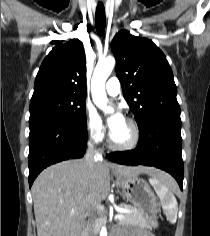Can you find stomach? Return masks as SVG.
I'll return each mask as SVG.
<instances>
[{
	"label": "stomach",
	"instance_id": "1",
	"mask_svg": "<svg viewBox=\"0 0 210 236\" xmlns=\"http://www.w3.org/2000/svg\"><path fill=\"white\" fill-rule=\"evenodd\" d=\"M117 181L121 185L127 201L142 213L151 227H157L159 204L149 184L137 176L129 178L117 176Z\"/></svg>",
	"mask_w": 210,
	"mask_h": 236
}]
</instances>
